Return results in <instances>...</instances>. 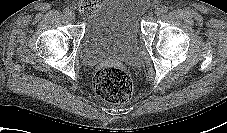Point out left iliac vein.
Returning <instances> with one entry per match:
<instances>
[{"label":"left iliac vein","instance_id":"4c4485c4","mask_svg":"<svg viewBox=\"0 0 227 133\" xmlns=\"http://www.w3.org/2000/svg\"><path fill=\"white\" fill-rule=\"evenodd\" d=\"M162 13H163L162 8H156V9H155V14H156L157 16L161 15Z\"/></svg>","mask_w":227,"mask_h":133}]
</instances>
